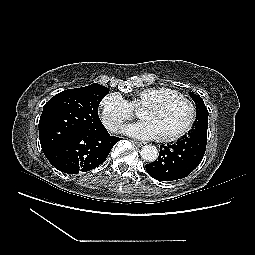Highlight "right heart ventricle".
<instances>
[{
	"label": "right heart ventricle",
	"mask_w": 255,
	"mask_h": 255,
	"mask_svg": "<svg viewBox=\"0 0 255 255\" xmlns=\"http://www.w3.org/2000/svg\"><path fill=\"white\" fill-rule=\"evenodd\" d=\"M174 90L168 88V87H149L146 88L142 91H140L135 98H133L129 104L131 105L132 108H137L140 106H144L152 101H154L155 99H157L158 97L165 95V94H169L171 92H173Z\"/></svg>",
	"instance_id": "1"
}]
</instances>
